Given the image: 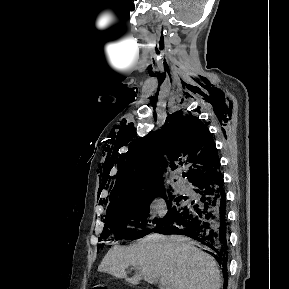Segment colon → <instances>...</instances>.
Instances as JSON below:
<instances>
[{
	"instance_id": "colon-1",
	"label": "colon",
	"mask_w": 289,
	"mask_h": 289,
	"mask_svg": "<svg viewBox=\"0 0 289 289\" xmlns=\"http://www.w3.org/2000/svg\"><path fill=\"white\" fill-rule=\"evenodd\" d=\"M93 289H105V287L103 285H96Z\"/></svg>"
}]
</instances>
